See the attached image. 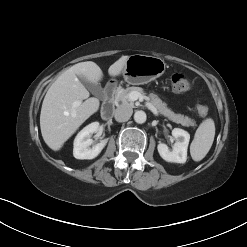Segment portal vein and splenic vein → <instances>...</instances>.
Returning <instances> with one entry per match:
<instances>
[{
    "label": "portal vein and splenic vein",
    "instance_id": "18ae733b",
    "mask_svg": "<svg viewBox=\"0 0 247 247\" xmlns=\"http://www.w3.org/2000/svg\"><path fill=\"white\" fill-rule=\"evenodd\" d=\"M141 97V94L136 92V91H133L129 94V98L132 100V101H136L138 98ZM82 101L80 100H77L73 103V106L74 107H78L79 105H81ZM147 107L153 112V114L155 115H158V111L157 109L150 103H147Z\"/></svg>",
    "mask_w": 247,
    "mask_h": 247
}]
</instances>
